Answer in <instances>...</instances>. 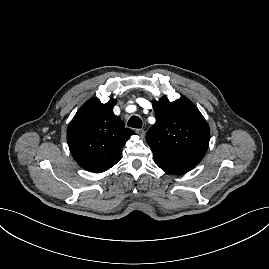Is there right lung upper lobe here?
Instances as JSON below:
<instances>
[{
	"instance_id": "cb5924a9",
	"label": "right lung upper lobe",
	"mask_w": 269,
	"mask_h": 269,
	"mask_svg": "<svg viewBox=\"0 0 269 269\" xmlns=\"http://www.w3.org/2000/svg\"><path fill=\"white\" fill-rule=\"evenodd\" d=\"M115 99L103 104L97 98L87 101L67 129V142L76 162L84 169L101 173L114 166L122 148L135 132L126 129L113 113Z\"/></svg>"
}]
</instances>
